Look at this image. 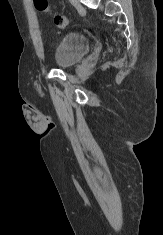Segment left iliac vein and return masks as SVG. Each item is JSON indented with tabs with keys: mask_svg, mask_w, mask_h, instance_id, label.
Segmentation results:
<instances>
[{
	"mask_svg": "<svg viewBox=\"0 0 163 235\" xmlns=\"http://www.w3.org/2000/svg\"><path fill=\"white\" fill-rule=\"evenodd\" d=\"M74 6H79V0H69Z\"/></svg>",
	"mask_w": 163,
	"mask_h": 235,
	"instance_id": "1",
	"label": "left iliac vein"
}]
</instances>
